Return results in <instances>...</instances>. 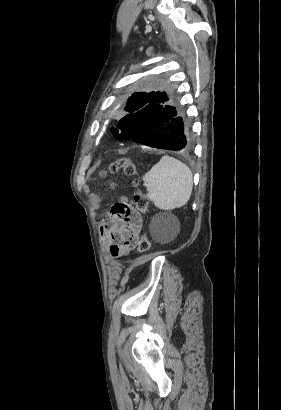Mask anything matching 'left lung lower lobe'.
<instances>
[{"mask_svg": "<svg viewBox=\"0 0 281 410\" xmlns=\"http://www.w3.org/2000/svg\"><path fill=\"white\" fill-rule=\"evenodd\" d=\"M119 140L135 142L159 149L189 151L193 142L189 124L162 90L154 93L148 104L126 115L117 125Z\"/></svg>", "mask_w": 281, "mask_h": 410, "instance_id": "left-lung-lower-lobe-1", "label": "left lung lower lobe"}]
</instances>
